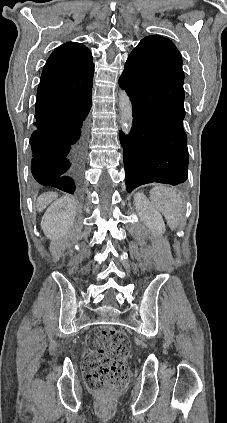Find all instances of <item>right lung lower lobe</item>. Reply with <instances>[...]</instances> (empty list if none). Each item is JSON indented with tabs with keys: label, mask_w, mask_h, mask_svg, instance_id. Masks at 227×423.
<instances>
[{
	"label": "right lung lower lobe",
	"mask_w": 227,
	"mask_h": 423,
	"mask_svg": "<svg viewBox=\"0 0 227 423\" xmlns=\"http://www.w3.org/2000/svg\"><path fill=\"white\" fill-rule=\"evenodd\" d=\"M91 95L47 101L37 97L31 135V171L42 186L73 194L82 178L86 154L85 119Z\"/></svg>",
	"instance_id": "98d812e1"
}]
</instances>
